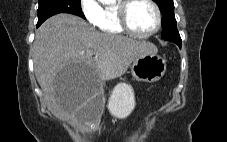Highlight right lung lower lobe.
<instances>
[{
    "mask_svg": "<svg viewBox=\"0 0 227 142\" xmlns=\"http://www.w3.org/2000/svg\"><path fill=\"white\" fill-rule=\"evenodd\" d=\"M42 24V23H41ZM40 23H37V27H39L41 25Z\"/></svg>",
    "mask_w": 227,
    "mask_h": 142,
    "instance_id": "obj_1",
    "label": "right lung lower lobe"
}]
</instances>
